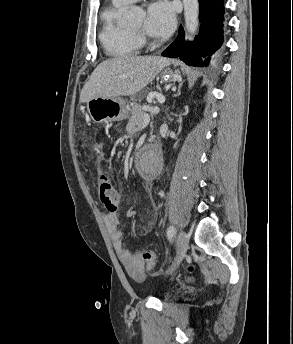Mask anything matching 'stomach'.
<instances>
[{
  "mask_svg": "<svg viewBox=\"0 0 293 344\" xmlns=\"http://www.w3.org/2000/svg\"><path fill=\"white\" fill-rule=\"evenodd\" d=\"M180 76L166 69L161 74V79L165 82L179 79ZM87 110L91 119L96 123H108L121 121L129 116L126 102L119 98H93L87 102Z\"/></svg>",
  "mask_w": 293,
  "mask_h": 344,
  "instance_id": "obj_1",
  "label": "stomach"
}]
</instances>
